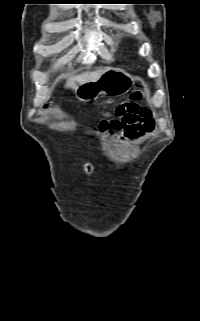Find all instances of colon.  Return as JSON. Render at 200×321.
I'll return each mask as SVG.
<instances>
[{"instance_id":"1","label":"colon","mask_w":200,"mask_h":321,"mask_svg":"<svg viewBox=\"0 0 200 321\" xmlns=\"http://www.w3.org/2000/svg\"><path fill=\"white\" fill-rule=\"evenodd\" d=\"M140 96H141V95H140L139 93H134V94L132 95V100H137V99L140 98ZM128 104H132V105H134L135 107L139 108L138 106H136V105L133 104V103L125 102V103L120 104V105L115 109L116 115L121 116V115L126 111L125 105H128Z\"/></svg>"}]
</instances>
